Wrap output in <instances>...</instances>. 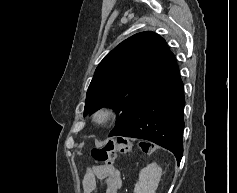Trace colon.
Listing matches in <instances>:
<instances>
[{
  "mask_svg": "<svg viewBox=\"0 0 237 193\" xmlns=\"http://www.w3.org/2000/svg\"><path fill=\"white\" fill-rule=\"evenodd\" d=\"M138 146L144 152H151V146L146 142H139ZM132 149V143L129 139L117 137L115 140L110 141L102 147H96L92 150V157L99 163L107 166L114 164L117 154L128 153Z\"/></svg>",
  "mask_w": 237,
  "mask_h": 193,
  "instance_id": "1",
  "label": "colon"
}]
</instances>
